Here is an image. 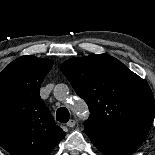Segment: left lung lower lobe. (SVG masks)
<instances>
[{
    "label": "left lung lower lobe",
    "mask_w": 155,
    "mask_h": 155,
    "mask_svg": "<svg viewBox=\"0 0 155 155\" xmlns=\"http://www.w3.org/2000/svg\"><path fill=\"white\" fill-rule=\"evenodd\" d=\"M146 135V132H138L109 138H89L104 155H130L140 147Z\"/></svg>",
    "instance_id": "left-lung-lower-lobe-1"
}]
</instances>
